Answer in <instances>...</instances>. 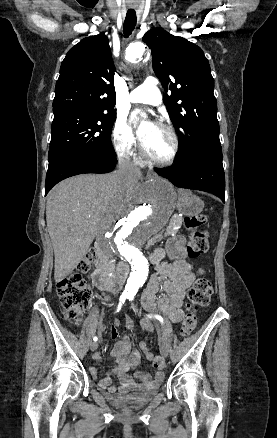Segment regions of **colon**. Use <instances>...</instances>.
Listing matches in <instances>:
<instances>
[{
	"instance_id": "5ec220e1",
	"label": "colon",
	"mask_w": 277,
	"mask_h": 438,
	"mask_svg": "<svg viewBox=\"0 0 277 438\" xmlns=\"http://www.w3.org/2000/svg\"><path fill=\"white\" fill-rule=\"evenodd\" d=\"M207 223L204 215L187 216L183 225L191 237L187 245V255L190 258H199L206 253L208 248V232L201 228ZM86 259L79 264V271L85 273L89 270L91 261H96L99 256L98 248H89L86 252ZM56 292L60 299L62 308L71 322L78 323L88 306L91 298V289L82 276L70 274L62 278L57 286ZM213 288L210 279L201 270L188 289V305L191 312L185 317L180 327V334L187 337L196 325L197 311L202 306L208 305ZM156 367L163 366V359L159 356L154 358Z\"/></svg>"
}]
</instances>
